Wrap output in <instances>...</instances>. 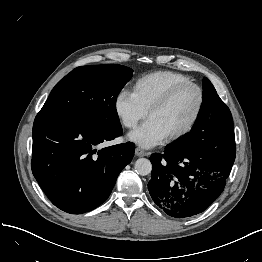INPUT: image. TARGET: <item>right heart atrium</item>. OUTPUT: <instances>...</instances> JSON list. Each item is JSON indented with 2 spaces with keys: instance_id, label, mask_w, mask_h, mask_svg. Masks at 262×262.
<instances>
[{
  "instance_id": "obj_1",
  "label": "right heart atrium",
  "mask_w": 262,
  "mask_h": 262,
  "mask_svg": "<svg viewBox=\"0 0 262 262\" xmlns=\"http://www.w3.org/2000/svg\"><path fill=\"white\" fill-rule=\"evenodd\" d=\"M114 108L122 125L134 128L147 115L133 92L121 90L115 97Z\"/></svg>"
}]
</instances>
